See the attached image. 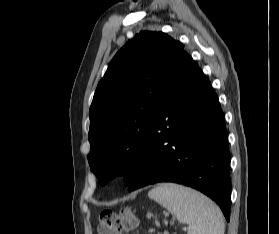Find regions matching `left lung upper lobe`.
Returning a JSON list of instances; mask_svg holds the SVG:
<instances>
[{
  "mask_svg": "<svg viewBox=\"0 0 279 234\" xmlns=\"http://www.w3.org/2000/svg\"><path fill=\"white\" fill-rule=\"evenodd\" d=\"M183 53L163 32L141 31L114 56L90 107L88 161L101 185L129 184L143 159L162 92Z\"/></svg>",
  "mask_w": 279,
  "mask_h": 234,
  "instance_id": "left-lung-upper-lobe-1",
  "label": "left lung upper lobe"
}]
</instances>
